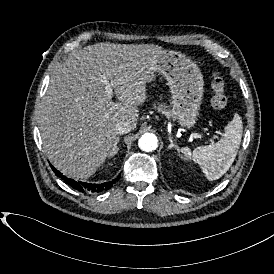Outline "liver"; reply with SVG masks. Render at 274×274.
Segmentation results:
<instances>
[{
    "label": "liver",
    "mask_w": 274,
    "mask_h": 274,
    "mask_svg": "<svg viewBox=\"0 0 274 274\" xmlns=\"http://www.w3.org/2000/svg\"><path fill=\"white\" fill-rule=\"evenodd\" d=\"M163 52L152 44L98 43L73 51L55 70L40 106V133L58 170L81 180L95 175L113 151L116 124L136 127L150 64ZM104 77L120 102L106 95Z\"/></svg>",
    "instance_id": "obj_1"
}]
</instances>
